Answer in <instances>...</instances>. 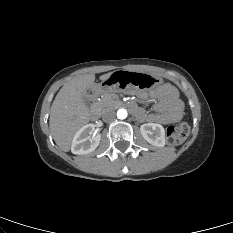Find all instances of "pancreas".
Segmentation results:
<instances>
[{
  "mask_svg": "<svg viewBox=\"0 0 233 233\" xmlns=\"http://www.w3.org/2000/svg\"><path fill=\"white\" fill-rule=\"evenodd\" d=\"M101 112L116 109L119 105V98L116 94H105L96 102Z\"/></svg>",
  "mask_w": 233,
  "mask_h": 233,
  "instance_id": "pancreas-1",
  "label": "pancreas"
}]
</instances>
